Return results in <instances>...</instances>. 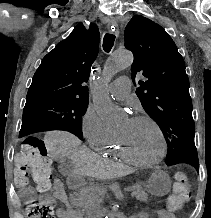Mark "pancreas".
<instances>
[{"mask_svg":"<svg viewBox=\"0 0 211 218\" xmlns=\"http://www.w3.org/2000/svg\"><path fill=\"white\" fill-rule=\"evenodd\" d=\"M106 189V186H86L79 194L72 196V206L81 208L86 218H91L93 216L92 210L94 205H101V200H104ZM132 190L131 196H135L136 200H147L148 194H145L140 184L132 186Z\"/></svg>","mask_w":211,"mask_h":218,"instance_id":"pancreas-1","label":"pancreas"}]
</instances>
